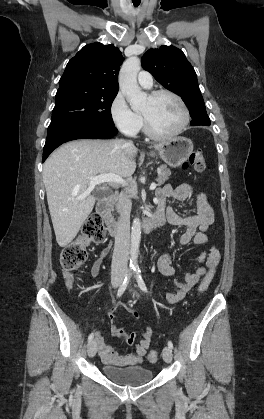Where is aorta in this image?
<instances>
[{
  "label": "aorta",
  "instance_id": "aorta-1",
  "mask_svg": "<svg viewBox=\"0 0 264 419\" xmlns=\"http://www.w3.org/2000/svg\"><path fill=\"white\" fill-rule=\"evenodd\" d=\"M141 62L138 57L128 58L119 73V87L133 110L140 109L147 100V94L142 92L137 83V74ZM141 240V222L138 217L133 220L131 230V259L132 267L137 265L138 250Z\"/></svg>",
  "mask_w": 264,
  "mask_h": 419
}]
</instances>
